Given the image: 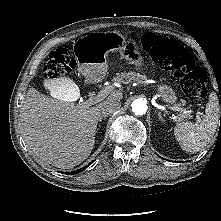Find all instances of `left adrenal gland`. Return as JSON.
<instances>
[{
    "instance_id": "left-adrenal-gland-1",
    "label": "left adrenal gland",
    "mask_w": 221,
    "mask_h": 221,
    "mask_svg": "<svg viewBox=\"0 0 221 221\" xmlns=\"http://www.w3.org/2000/svg\"><path fill=\"white\" fill-rule=\"evenodd\" d=\"M158 116H159V120H161L162 122L164 121V119H163V117H162V115H161V112L159 111L158 112Z\"/></svg>"
}]
</instances>
